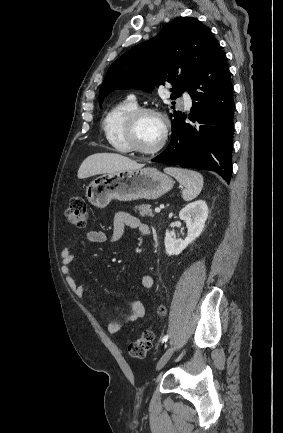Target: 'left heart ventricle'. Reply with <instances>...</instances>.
I'll use <instances>...</instances> for the list:
<instances>
[{
  "label": "left heart ventricle",
  "mask_w": 283,
  "mask_h": 433,
  "mask_svg": "<svg viewBox=\"0 0 283 433\" xmlns=\"http://www.w3.org/2000/svg\"><path fill=\"white\" fill-rule=\"evenodd\" d=\"M163 123L153 114L144 115L138 122L136 140L145 150H154L162 135Z\"/></svg>",
  "instance_id": "b2bd125f"
}]
</instances>
